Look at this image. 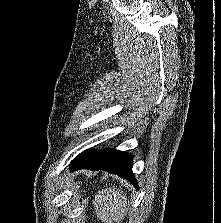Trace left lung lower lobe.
<instances>
[{"instance_id": "1", "label": "left lung lower lobe", "mask_w": 221, "mask_h": 223, "mask_svg": "<svg viewBox=\"0 0 221 223\" xmlns=\"http://www.w3.org/2000/svg\"><path fill=\"white\" fill-rule=\"evenodd\" d=\"M104 170L117 174L137 186L132 172V155L115 149L99 151L89 149L78 155L71 164V170Z\"/></svg>"}]
</instances>
